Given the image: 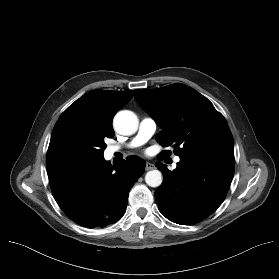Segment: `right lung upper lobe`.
I'll list each match as a JSON object with an SVG mask.
<instances>
[{"mask_svg":"<svg viewBox=\"0 0 279 279\" xmlns=\"http://www.w3.org/2000/svg\"><path fill=\"white\" fill-rule=\"evenodd\" d=\"M132 97V91L95 90L88 92L61 114L55 127L66 122L76 121L111 138L114 135L111 127L114 115Z\"/></svg>","mask_w":279,"mask_h":279,"instance_id":"cb5924a9","label":"right lung upper lobe"}]
</instances>
